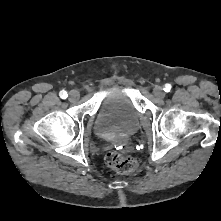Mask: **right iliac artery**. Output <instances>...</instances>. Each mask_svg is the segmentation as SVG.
<instances>
[{
  "label": "right iliac artery",
  "mask_w": 221,
  "mask_h": 221,
  "mask_svg": "<svg viewBox=\"0 0 221 221\" xmlns=\"http://www.w3.org/2000/svg\"><path fill=\"white\" fill-rule=\"evenodd\" d=\"M60 97L63 98V99H66L68 97V94L66 91L62 90L60 91L59 93Z\"/></svg>",
  "instance_id": "82829eb1"
}]
</instances>
